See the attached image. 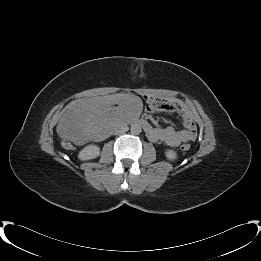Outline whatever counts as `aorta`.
<instances>
[{"mask_svg": "<svg viewBox=\"0 0 261 261\" xmlns=\"http://www.w3.org/2000/svg\"><path fill=\"white\" fill-rule=\"evenodd\" d=\"M131 134L139 135L142 131V127L140 124H132L130 127Z\"/></svg>", "mask_w": 261, "mask_h": 261, "instance_id": "aorta-1", "label": "aorta"}]
</instances>
